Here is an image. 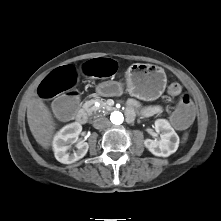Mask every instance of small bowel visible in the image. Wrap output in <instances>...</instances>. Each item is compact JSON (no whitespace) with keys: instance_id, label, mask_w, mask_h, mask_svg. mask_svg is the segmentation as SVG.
Instances as JSON below:
<instances>
[{"instance_id":"small-bowel-1","label":"small bowel","mask_w":221,"mask_h":221,"mask_svg":"<svg viewBox=\"0 0 221 221\" xmlns=\"http://www.w3.org/2000/svg\"><path fill=\"white\" fill-rule=\"evenodd\" d=\"M140 105L137 101L131 100L129 102V111L128 117H132L133 109L138 108ZM162 111V108L158 105H149L146 107L141 108L140 112L145 117H150L156 114H159Z\"/></svg>"}]
</instances>
